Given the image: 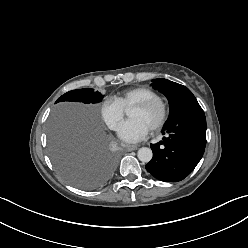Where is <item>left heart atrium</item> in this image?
Instances as JSON below:
<instances>
[{"label": "left heart atrium", "mask_w": 248, "mask_h": 248, "mask_svg": "<svg viewBox=\"0 0 248 248\" xmlns=\"http://www.w3.org/2000/svg\"><path fill=\"white\" fill-rule=\"evenodd\" d=\"M148 127L139 119H130L124 122L119 130V137L128 143L142 140L148 133Z\"/></svg>", "instance_id": "obj_1"}]
</instances>
